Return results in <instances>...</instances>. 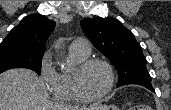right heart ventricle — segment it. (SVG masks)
<instances>
[{"label":"right heart ventricle","instance_id":"e07e8e85","mask_svg":"<svg viewBox=\"0 0 171 110\" xmlns=\"http://www.w3.org/2000/svg\"><path fill=\"white\" fill-rule=\"evenodd\" d=\"M89 54L82 53L70 47L69 60L74 66H78L80 63L88 58ZM72 72L58 73L56 81L52 84L50 91L55 100L61 102H78L79 100L74 95L71 85Z\"/></svg>","mask_w":171,"mask_h":110}]
</instances>
